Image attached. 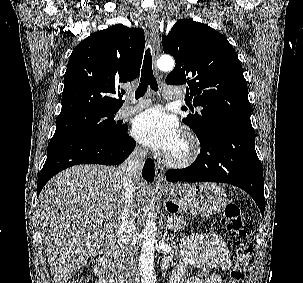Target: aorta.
<instances>
[{"instance_id":"aorta-1","label":"aorta","mask_w":303,"mask_h":283,"mask_svg":"<svg viewBox=\"0 0 303 283\" xmlns=\"http://www.w3.org/2000/svg\"><path fill=\"white\" fill-rule=\"evenodd\" d=\"M174 60L168 55L160 57L157 66L162 71H170L174 68ZM156 224L153 216L149 217L143 231V243L139 258V270L141 283H156L154 275V246L156 236Z\"/></svg>"}]
</instances>
